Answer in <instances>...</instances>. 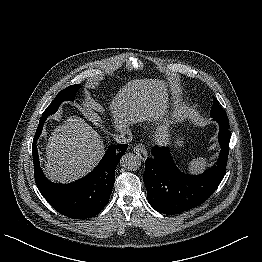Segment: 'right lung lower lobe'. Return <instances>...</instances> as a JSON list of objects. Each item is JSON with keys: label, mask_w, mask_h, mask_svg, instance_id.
I'll return each instance as SVG.
<instances>
[{"label": "right lung lower lobe", "mask_w": 262, "mask_h": 262, "mask_svg": "<svg viewBox=\"0 0 262 262\" xmlns=\"http://www.w3.org/2000/svg\"><path fill=\"white\" fill-rule=\"evenodd\" d=\"M48 116L42 115L32 145L35 182L40 193L59 213L73 219L96 216L108 203L115 180V168L128 145L110 146L98 166L86 177L70 184L50 182L43 174L36 148Z\"/></svg>", "instance_id": "1"}]
</instances>
